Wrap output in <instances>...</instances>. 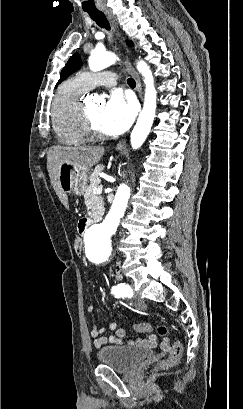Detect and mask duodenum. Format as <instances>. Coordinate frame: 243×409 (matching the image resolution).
Instances as JSON below:
<instances>
[{
    "label": "duodenum",
    "instance_id": "obj_1",
    "mask_svg": "<svg viewBox=\"0 0 243 409\" xmlns=\"http://www.w3.org/2000/svg\"><path fill=\"white\" fill-rule=\"evenodd\" d=\"M91 224H92V220L90 219L81 220L79 223L80 232H84Z\"/></svg>",
    "mask_w": 243,
    "mask_h": 409
}]
</instances>
